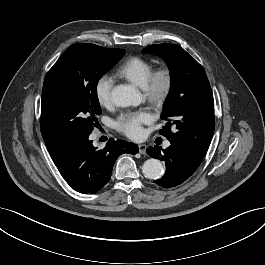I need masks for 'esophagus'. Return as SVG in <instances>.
<instances>
[{"label": "esophagus", "mask_w": 265, "mask_h": 265, "mask_svg": "<svg viewBox=\"0 0 265 265\" xmlns=\"http://www.w3.org/2000/svg\"><path fill=\"white\" fill-rule=\"evenodd\" d=\"M138 148H139V153H141V154L146 153L147 146L145 144L138 145Z\"/></svg>", "instance_id": "1"}]
</instances>
